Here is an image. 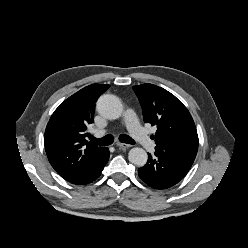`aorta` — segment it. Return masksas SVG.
Listing matches in <instances>:
<instances>
[{"mask_svg": "<svg viewBox=\"0 0 248 248\" xmlns=\"http://www.w3.org/2000/svg\"><path fill=\"white\" fill-rule=\"evenodd\" d=\"M98 113L107 119H118L123 112V105L118 97L111 94L102 95L96 105ZM128 159L136 166L142 167L146 164L148 155L142 148H132L128 153Z\"/></svg>", "mask_w": 248, "mask_h": 248, "instance_id": "762f6f07", "label": "aorta"}]
</instances>
